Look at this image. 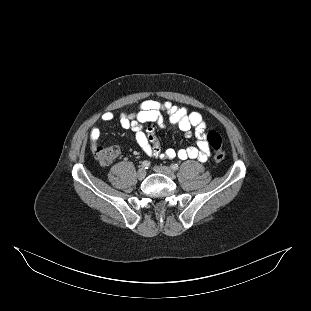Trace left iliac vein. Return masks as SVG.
I'll return each instance as SVG.
<instances>
[{"label":"left iliac vein","instance_id":"left-iliac-vein-1","mask_svg":"<svg viewBox=\"0 0 311 311\" xmlns=\"http://www.w3.org/2000/svg\"><path fill=\"white\" fill-rule=\"evenodd\" d=\"M154 171L157 173L164 174L171 179H175L176 177L174 172L171 170V168L167 166H155Z\"/></svg>","mask_w":311,"mask_h":311}]
</instances>
